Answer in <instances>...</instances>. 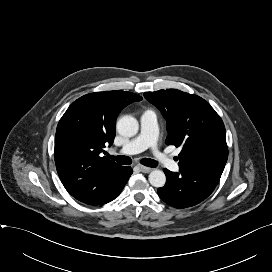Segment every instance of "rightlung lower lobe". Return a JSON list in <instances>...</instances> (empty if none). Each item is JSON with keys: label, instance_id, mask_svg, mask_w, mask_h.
<instances>
[{"label": "right lung lower lobe", "instance_id": "obj_1", "mask_svg": "<svg viewBox=\"0 0 272 272\" xmlns=\"http://www.w3.org/2000/svg\"><path fill=\"white\" fill-rule=\"evenodd\" d=\"M131 174V167H122L113 176L99 182L95 188L75 198L89 205L108 203L119 196Z\"/></svg>", "mask_w": 272, "mask_h": 272}]
</instances>
